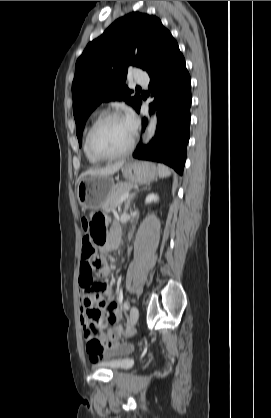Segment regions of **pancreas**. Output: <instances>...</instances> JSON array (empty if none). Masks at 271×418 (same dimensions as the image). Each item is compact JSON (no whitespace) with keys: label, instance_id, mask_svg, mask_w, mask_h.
Listing matches in <instances>:
<instances>
[{"label":"pancreas","instance_id":"pancreas-1","mask_svg":"<svg viewBox=\"0 0 271 418\" xmlns=\"http://www.w3.org/2000/svg\"><path fill=\"white\" fill-rule=\"evenodd\" d=\"M133 188V184L129 182H119L111 190L105 203L102 206L104 212L112 210L116 206H120L121 197Z\"/></svg>","mask_w":271,"mask_h":418}]
</instances>
